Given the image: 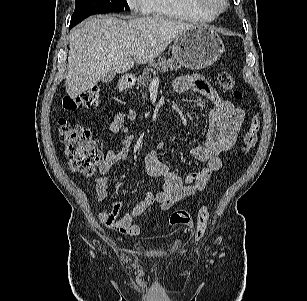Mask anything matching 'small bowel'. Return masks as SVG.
<instances>
[{
	"label": "small bowel",
	"instance_id": "small-bowel-1",
	"mask_svg": "<svg viewBox=\"0 0 307 301\" xmlns=\"http://www.w3.org/2000/svg\"><path fill=\"white\" fill-rule=\"evenodd\" d=\"M173 88L177 93L192 91L201 95L209 104V125L204 144L197 145L191 150V156L206 163V166L190 173L182 179L173 173L160 159L158 150L145 155V166L148 174L162 181L158 192H148L143 200L120 216L122 199H116L109 209L99 213L101 222L108 228L127 236H137L142 226L136 219L146 210L158 204L162 211H167L182 198L205 189L212 175L222 167L221 156L231 149L241 129L245 112L236 107L231 101L225 100L200 75L180 76L175 79ZM137 118L133 109L117 113L109 122L108 129L112 132H122L124 138L117 149L108 150L99 166V176L95 179L97 199L101 202L108 198V178L106 174L119 161L129 155V147L133 136L129 123ZM161 144L159 148H161Z\"/></svg>",
	"mask_w": 307,
	"mask_h": 301
}]
</instances>
